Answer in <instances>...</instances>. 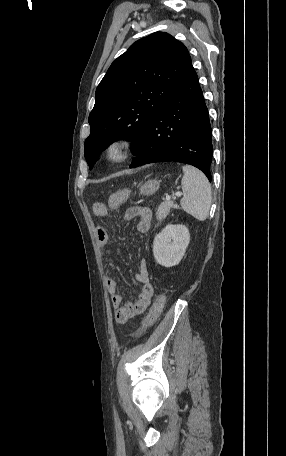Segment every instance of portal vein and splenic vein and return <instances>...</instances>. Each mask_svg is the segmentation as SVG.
<instances>
[{
  "instance_id": "1",
  "label": "portal vein and splenic vein",
  "mask_w": 286,
  "mask_h": 456,
  "mask_svg": "<svg viewBox=\"0 0 286 456\" xmlns=\"http://www.w3.org/2000/svg\"><path fill=\"white\" fill-rule=\"evenodd\" d=\"M181 195H182L181 192H176L173 196H178V197H180ZM166 200H167V201L171 200V196H170V195H167V196H166Z\"/></svg>"
}]
</instances>
